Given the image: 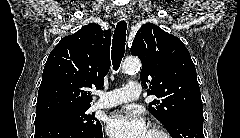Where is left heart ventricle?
Wrapping results in <instances>:
<instances>
[{
  "instance_id": "obj_1",
  "label": "left heart ventricle",
  "mask_w": 240,
  "mask_h": 138,
  "mask_svg": "<svg viewBox=\"0 0 240 138\" xmlns=\"http://www.w3.org/2000/svg\"><path fill=\"white\" fill-rule=\"evenodd\" d=\"M147 138H161V137L153 131H148Z\"/></svg>"
}]
</instances>
